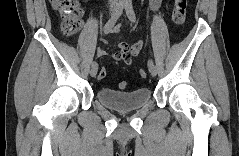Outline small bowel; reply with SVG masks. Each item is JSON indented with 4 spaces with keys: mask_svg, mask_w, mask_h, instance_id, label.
Instances as JSON below:
<instances>
[{
    "mask_svg": "<svg viewBox=\"0 0 239 156\" xmlns=\"http://www.w3.org/2000/svg\"><path fill=\"white\" fill-rule=\"evenodd\" d=\"M150 7L152 10L157 11L161 7V1L160 0H152L150 2ZM114 31L116 33H119L120 27L116 26ZM144 42L143 40H138L136 43L129 45L125 42H119L117 43V51H111L106 52L104 50H99L98 55L104 56V55H110L116 60L122 61L126 65H131L133 63V59L137 56H139L142 48H143Z\"/></svg>",
    "mask_w": 239,
    "mask_h": 156,
    "instance_id": "obj_1",
    "label": "small bowel"
}]
</instances>
